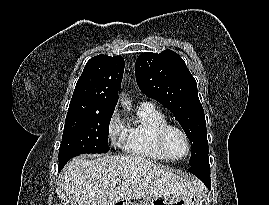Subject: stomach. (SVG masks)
Here are the masks:
<instances>
[{"label": "stomach", "instance_id": "0dacf381", "mask_svg": "<svg viewBox=\"0 0 269 205\" xmlns=\"http://www.w3.org/2000/svg\"><path fill=\"white\" fill-rule=\"evenodd\" d=\"M117 205H202L199 196H190L176 199L158 198L147 196L139 203H133L129 200H123L116 203Z\"/></svg>", "mask_w": 269, "mask_h": 205}]
</instances>
